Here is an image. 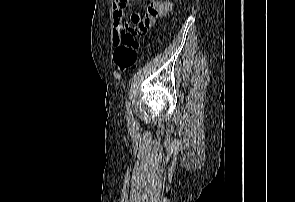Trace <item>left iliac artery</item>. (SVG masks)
<instances>
[{
	"label": "left iliac artery",
	"instance_id": "44dca946",
	"mask_svg": "<svg viewBox=\"0 0 295 202\" xmlns=\"http://www.w3.org/2000/svg\"><path fill=\"white\" fill-rule=\"evenodd\" d=\"M126 117L128 120H133V114L130 107V102H126Z\"/></svg>",
	"mask_w": 295,
	"mask_h": 202
}]
</instances>
